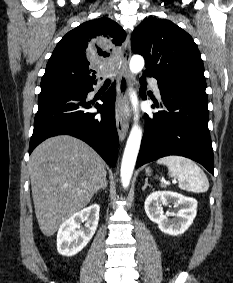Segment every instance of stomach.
I'll use <instances>...</instances> for the list:
<instances>
[{
	"instance_id": "stomach-1",
	"label": "stomach",
	"mask_w": 233,
	"mask_h": 283,
	"mask_svg": "<svg viewBox=\"0 0 233 283\" xmlns=\"http://www.w3.org/2000/svg\"><path fill=\"white\" fill-rule=\"evenodd\" d=\"M151 170L149 168L146 169V173L149 174Z\"/></svg>"
}]
</instances>
